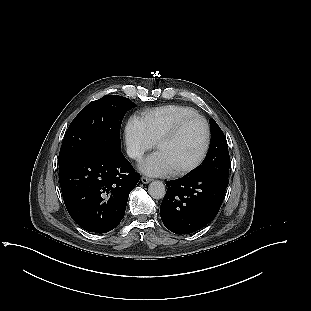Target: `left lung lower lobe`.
Masks as SVG:
<instances>
[{
	"label": "left lung lower lobe",
	"mask_w": 311,
	"mask_h": 311,
	"mask_svg": "<svg viewBox=\"0 0 311 311\" xmlns=\"http://www.w3.org/2000/svg\"><path fill=\"white\" fill-rule=\"evenodd\" d=\"M228 182V178L215 173L192 174L167 182L160 206L165 227L176 234H189L204 227L217 215Z\"/></svg>",
	"instance_id": "1"
}]
</instances>
